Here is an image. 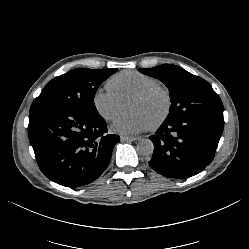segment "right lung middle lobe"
I'll return each instance as SVG.
<instances>
[{
	"mask_svg": "<svg viewBox=\"0 0 249 249\" xmlns=\"http://www.w3.org/2000/svg\"><path fill=\"white\" fill-rule=\"evenodd\" d=\"M117 71L77 68L52 79L33 101L30 112L45 108H70L98 113L94 97L99 85Z\"/></svg>",
	"mask_w": 249,
	"mask_h": 249,
	"instance_id": "obj_1",
	"label": "right lung middle lobe"
}]
</instances>
